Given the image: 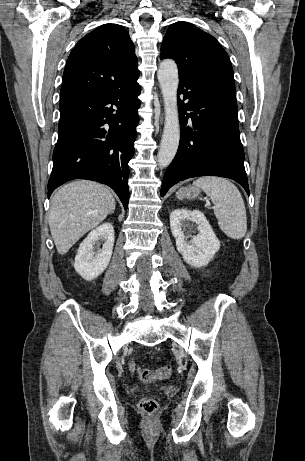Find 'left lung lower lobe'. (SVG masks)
<instances>
[{
    "mask_svg": "<svg viewBox=\"0 0 305 461\" xmlns=\"http://www.w3.org/2000/svg\"><path fill=\"white\" fill-rule=\"evenodd\" d=\"M178 106L180 143L164 175L161 196L179 181L207 175L233 179L249 195L234 81L180 77Z\"/></svg>",
    "mask_w": 305,
    "mask_h": 461,
    "instance_id": "left-lung-lower-lobe-1",
    "label": "left lung lower lobe"
}]
</instances>
